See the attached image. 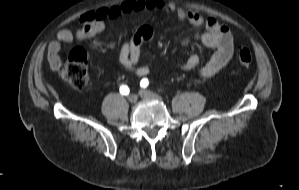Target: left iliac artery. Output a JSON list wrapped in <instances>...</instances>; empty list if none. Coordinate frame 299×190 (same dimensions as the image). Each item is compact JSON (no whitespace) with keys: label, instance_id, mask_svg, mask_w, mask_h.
I'll use <instances>...</instances> for the list:
<instances>
[{"label":"left iliac artery","instance_id":"left-iliac-artery-1","mask_svg":"<svg viewBox=\"0 0 299 190\" xmlns=\"http://www.w3.org/2000/svg\"><path fill=\"white\" fill-rule=\"evenodd\" d=\"M149 84V80L147 78H143L140 82V86L146 88Z\"/></svg>","mask_w":299,"mask_h":190}]
</instances>
